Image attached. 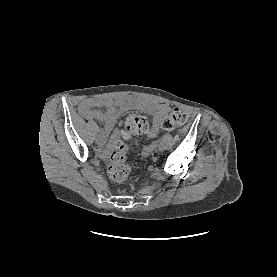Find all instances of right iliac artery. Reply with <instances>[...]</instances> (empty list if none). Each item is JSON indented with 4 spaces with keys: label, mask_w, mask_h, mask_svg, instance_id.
Here are the masks:
<instances>
[{
    "label": "right iliac artery",
    "mask_w": 277,
    "mask_h": 277,
    "mask_svg": "<svg viewBox=\"0 0 277 277\" xmlns=\"http://www.w3.org/2000/svg\"><path fill=\"white\" fill-rule=\"evenodd\" d=\"M102 136H103L102 132H101V131H98L97 137H102Z\"/></svg>",
    "instance_id": "82829eb1"
}]
</instances>
